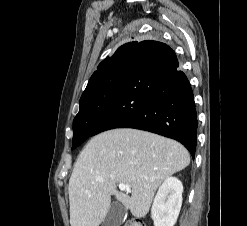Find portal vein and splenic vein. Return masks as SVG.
I'll return each instance as SVG.
<instances>
[{
  "instance_id": "obj_1",
  "label": "portal vein and splenic vein",
  "mask_w": 247,
  "mask_h": 226,
  "mask_svg": "<svg viewBox=\"0 0 247 226\" xmlns=\"http://www.w3.org/2000/svg\"><path fill=\"white\" fill-rule=\"evenodd\" d=\"M118 188H119L121 191L131 192V186H130V185H127V184H119V185H118Z\"/></svg>"
}]
</instances>
